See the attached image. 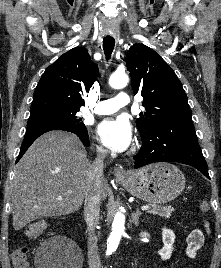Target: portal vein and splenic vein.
<instances>
[{
  "instance_id": "portal-vein-and-splenic-vein-1",
  "label": "portal vein and splenic vein",
  "mask_w": 221,
  "mask_h": 268,
  "mask_svg": "<svg viewBox=\"0 0 221 268\" xmlns=\"http://www.w3.org/2000/svg\"><path fill=\"white\" fill-rule=\"evenodd\" d=\"M58 199L61 200L62 198L60 197V198H58ZM149 209H150V207L147 206V205L141 207V210H142V211H146V210H149Z\"/></svg>"
}]
</instances>
